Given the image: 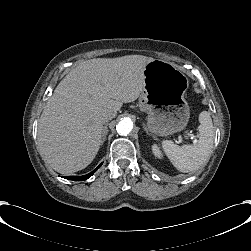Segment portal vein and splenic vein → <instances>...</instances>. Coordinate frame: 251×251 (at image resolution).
Wrapping results in <instances>:
<instances>
[{
	"label": "portal vein and splenic vein",
	"instance_id": "1",
	"mask_svg": "<svg viewBox=\"0 0 251 251\" xmlns=\"http://www.w3.org/2000/svg\"><path fill=\"white\" fill-rule=\"evenodd\" d=\"M187 136H191L190 133L186 134ZM192 139H195V133H192ZM180 142V141H179Z\"/></svg>",
	"mask_w": 251,
	"mask_h": 251
}]
</instances>
